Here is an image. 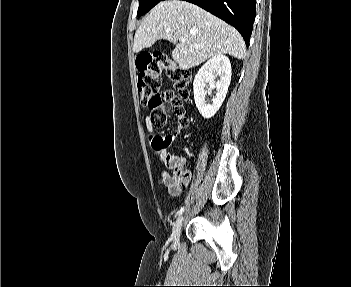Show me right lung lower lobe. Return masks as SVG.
<instances>
[{"instance_id":"right-lung-lower-lobe-1","label":"right lung lower lobe","mask_w":351,"mask_h":287,"mask_svg":"<svg viewBox=\"0 0 351 287\" xmlns=\"http://www.w3.org/2000/svg\"><path fill=\"white\" fill-rule=\"evenodd\" d=\"M234 26L248 47L256 14V0H185Z\"/></svg>"}]
</instances>
